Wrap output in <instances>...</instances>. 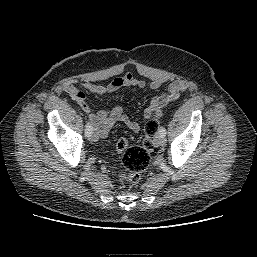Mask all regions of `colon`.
<instances>
[{"label":"colon","mask_w":257,"mask_h":257,"mask_svg":"<svg viewBox=\"0 0 257 257\" xmlns=\"http://www.w3.org/2000/svg\"><path fill=\"white\" fill-rule=\"evenodd\" d=\"M161 113L149 120L144 128L145 136L141 146L130 145L128 139L120 138L116 149L122 154L118 177L121 181L135 184L138 183L149 163L157 153L158 148L154 140L159 125Z\"/></svg>","instance_id":"obj_1"}]
</instances>
